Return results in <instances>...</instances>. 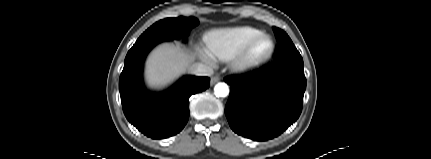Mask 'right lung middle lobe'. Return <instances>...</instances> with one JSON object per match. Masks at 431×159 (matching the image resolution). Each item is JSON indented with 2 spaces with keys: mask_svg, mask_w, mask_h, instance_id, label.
Listing matches in <instances>:
<instances>
[{
  "mask_svg": "<svg viewBox=\"0 0 431 159\" xmlns=\"http://www.w3.org/2000/svg\"><path fill=\"white\" fill-rule=\"evenodd\" d=\"M194 17H177L160 20L149 27L136 41V43L151 40L179 39L187 35L188 31L198 25Z\"/></svg>",
  "mask_w": 431,
  "mask_h": 159,
  "instance_id": "right-lung-middle-lobe-1",
  "label": "right lung middle lobe"
}]
</instances>
